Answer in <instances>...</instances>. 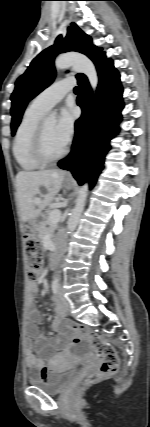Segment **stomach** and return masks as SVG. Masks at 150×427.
<instances>
[{
  "mask_svg": "<svg viewBox=\"0 0 150 427\" xmlns=\"http://www.w3.org/2000/svg\"><path fill=\"white\" fill-rule=\"evenodd\" d=\"M65 187L67 189H71L74 187V183L73 182H69V181H65Z\"/></svg>",
  "mask_w": 150,
  "mask_h": 427,
  "instance_id": "obj_1",
  "label": "stomach"
}]
</instances>
